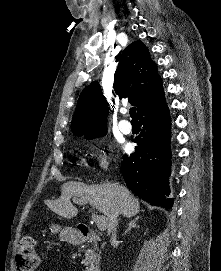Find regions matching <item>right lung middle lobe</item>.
Wrapping results in <instances>:
<instances>
[{"mask_svg":"<svg viewBox=\"0 0 221 271\" xmlns=\"http://www.w3.org/2000/svg\"><path fill=\"white\" fill-rule=\"evenodd\" d=\"M105 134H106V131H101V132H96V133H90V134H86L85 138L92 139V138H95V137L103 136Z\"/></svg>","mask_w":221,"mask_h":271,"instance_id":"right-lung-middle-lobe-1","label":"right lung middle lobe"}]
</instances>
